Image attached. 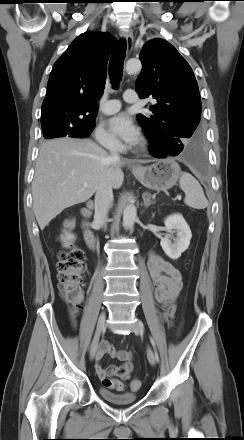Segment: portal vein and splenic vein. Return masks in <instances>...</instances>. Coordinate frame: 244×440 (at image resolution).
I'll use <instances>...</instances> for the list:
<instances>
[{"instance_id":"18ae733b","label":"portal vein and splenic vein","mask_w":244,"mask_h":440,"mask_svg":"<svg viewBox=\"0 0 244 440\" xmlns=\"http://www.w3.org/2000/svg\"><path fill=\"white\" fill-rule=\"evenodd\" d=\"M83 186H84L85 188H87V187H89V184H88V183H84ZM178 199H181V196H178Z\"/></svg>"}]
</instances>
